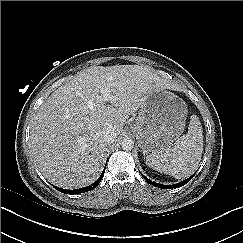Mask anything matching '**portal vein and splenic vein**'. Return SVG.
<instances>
[{
  "mask_svg": "<svg viewBox=\"0 0 243 243\" xmlns=\"http://www.w3.org/2000/svg\"><path fill=\"white\" fill-rule=\"evenodd\" d=\"M103 96L106 100L110 99L111 98V93H110V89L107 87L105 88L103 91Z\"/></svg>",
  "mask_w": 243,
  "mask_h": 243,
  "instance_id": "18ae733b",
  "label": "portal vein and splenic vein"
}]
</instances>
